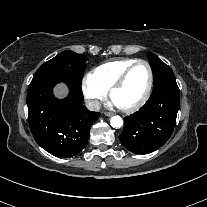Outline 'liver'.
<instances>
[{
  "label": "liver",
  "instance_id": "obj_1",
  "mask_svg": "<svg viewBox=\"0 0 207 207\" xmlns=\"http://www.w3.org/2000/svg\"><path fill=\"white\" fill-rule=\"evenodd\" d=\"M68 93V87L64 83H58L53 87V94L58 99H63L67 97Z\"/></svg>",
  "mask_w": 207,
  "mask_h": 207
}]
</instances>
